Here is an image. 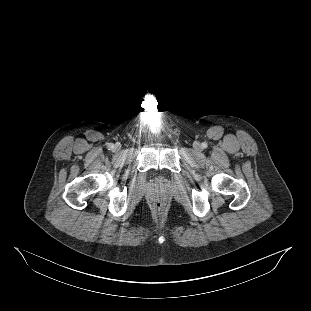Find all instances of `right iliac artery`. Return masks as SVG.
Segmentation results:
<instances>
[{
	"instance_id": "1",
	"label": "right iliac artery",
	"mask_w": 311,
	"mask_h": 311,
	"mask_svg": "<svg viewBox=\"0 0 311 311\" xmlns=\"http://www.w3.org/2000/svg\"><path fill=\"white\" fill-rule=\"evenodd\" d=\"M113 146H114V145H113L112 143L108 144V147H109V148H113Z\"/></svg>"
}]
</instances>
